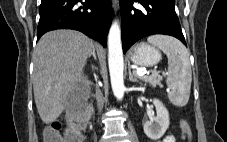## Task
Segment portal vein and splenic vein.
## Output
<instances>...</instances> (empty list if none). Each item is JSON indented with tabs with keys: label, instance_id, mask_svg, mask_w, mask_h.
I'll return each mask as SVG.
<instances>
[{
	"label": "portal vein and splenic vein",
	"instance_id": "1",
	"mask_svg": "<svg viewBox=\"0 0 227 142\" xmlns=\"http://www.w3.org/2000/svg\"><path fill=\"white\" fill-rule=\"evenodd\" d=\"M136 74L140 77L145 76L146 74H148V72L146 70H137ZM153 74H158V72H154Z\"/></svg>",
	"mask_w": 227,
	"mask_h": 142
}]
</instances>
